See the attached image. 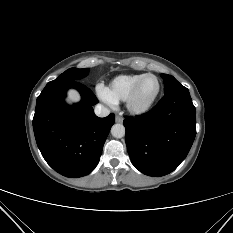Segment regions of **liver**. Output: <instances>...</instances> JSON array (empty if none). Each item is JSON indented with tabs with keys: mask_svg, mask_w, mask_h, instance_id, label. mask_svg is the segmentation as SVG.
<instances>
[{
	"mask_svg": "<svg viewBox=\"0 0 233 233\" xmlns=\"http://www.w3.org/2000/svg\"><path fill=\"white\" fill-rule=\"evenodd\" d=\"M79 100H80V95L76 90L71 89L68 91V96L66 99L68 103L77 102Z\"/></svg>",
	"mask_w": 233,
	"mask_h": 233,
	"instance_id": "obj_1",
	"label": "liver"
}]
</instances>
